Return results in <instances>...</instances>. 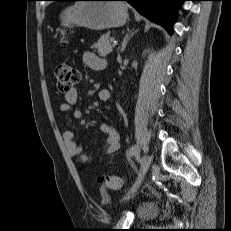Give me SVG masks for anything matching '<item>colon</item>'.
<instances>
[{
    "label": "colon",
    "instance_id": "1",
    "mask_svg": "<svg viewBox=\"0 0 231 231\" xmlns=\"http://www.w3.org/2000/svg\"><path fill=\"white\" fill-rule=\"evenodd\" d=\"M61 40L63 44H66L67 39L65 36ZM54 74L57 88L64 93L70 91L80 81V72L65 63L57 64ZM98 182L101 185V193L105 195L107 190L120 188L123 184V179L117 175H101Z\"/></svg>",
    "mask_w": 231,
    "mask_h": 231
}]
</instances>
